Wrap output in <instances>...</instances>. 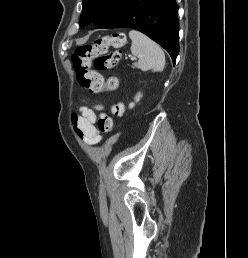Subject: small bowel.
Here are the masks:
<instances>
[{
  "label": "small bowel",
  "mask_w": 248,
  "mask_h": 258,
  "mask_svg": "<svg viewBox=\"0 0 248 258\" xmlns=\"http://www.w3.org/2000/svg\"><path fill=\"white\" fill-rule=\"evenodd\" d=\"M101 106L94 107H81L80 115L74 116L72 119L74 130L80 140L89 146L98 144L102 136L100 135L96 126V114L95 110H101Z\"/></svg>",
  "instance_id": "obj_1"
}]
</instances>
